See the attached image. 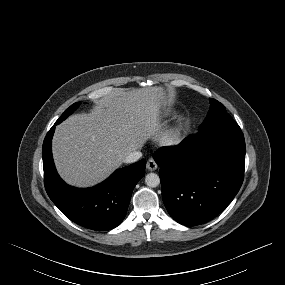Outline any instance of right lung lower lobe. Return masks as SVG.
Masks as SVG:
<instances>
[{"instance_id":"98d812e1","label":"right lung lower lobe","mask_w":285,"mask_h":285,"mask_svg":"<svg viewBox=\"0 0 285 285\" xmlns=\"http://www.w3.org/2000/svg\"><path fill=\"white\" fill-rule=\"evenodd\" d=\"M55 125L47 133L42 149L48 196L67 218L85 228L103 231L117 227L126 215L134 187L144 176L146 160L116 170L95 187H71L59 177L53 162L51 145Z\"/></svg>"}]
</instances>
